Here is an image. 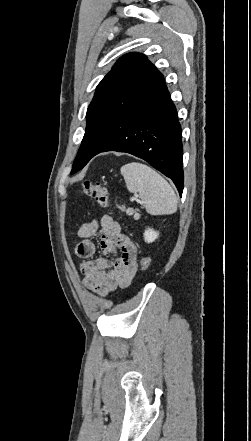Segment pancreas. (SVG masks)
I'll use <instances>...</instances> for the list:
<instances>
[{
    "instance_id": "cf45deb5",
    "label": "pancreas",
    "mask_w": 251,
    "mask_h": 441,
    "mask_svg": "<svg viewBox=\"0 0 251 441\" xmlns=\"http://www.w3.org/2000/svg\"><path fill=\"white\" fill-rule=\"evenodd\" d=\"M118 208L122 211V212H125V210H126V207H125V205H122V206H118ZM136 211H139L138 209H136Z\"/></svg>"
}]
</instances>
